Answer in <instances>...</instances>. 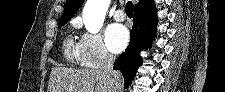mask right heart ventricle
Masks as SVG:
<instances>
[{"mask_svg": "<svg viewBox=\"0 0 225 92\" xmlns=\"http://www.w3.org/2000/svg\"><path fill=\"white\" fill-rule=\"evenodd\" d=\"M64 54L70 61H73V59L77 56L76 46H74L70 37H67L64 41Z\"/></svg>", "mask_w": 225, "mask_h": 92, "instance_id": "right-heart-ventricle-1", "label": "right heart ventricle"}]
</instances>
